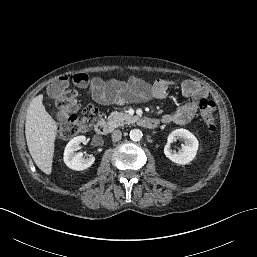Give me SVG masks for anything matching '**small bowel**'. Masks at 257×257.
<instances>
[{"mask_svg": "<svg viewBox=\"0 0 257 257\" xmlns=\"http://www.w3.org/2000/svg\"><path fill=\"white\" fill-rule=\"evenodd\" d=\"M176 87L188 101L176 111L163 115L161 121L164 124L183 125L194 118L200 99L207 95L206 90L192 80H185L178 84L172 79H160L150 85L138 77H130L127 81L117 84L113 80L106 81L95 77L91 80L87 95L101 105L122 106L153 98L164 99L169 90ZM50 96L54 98L51 94Z\"/></svg>", "mask_w": 257, "mask_h": 257, "instance_id": "1", "label": "small bowel"}]
</instances>
